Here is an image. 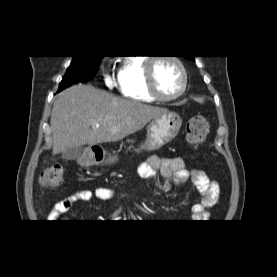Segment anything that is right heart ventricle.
I'll return each mask as SVG.
<instances>
[{
    "label": "right heart ventricle",
    "instance_id": "1",
    "mask_svg": "<svg viewBox=\"0 0 277 277\" xmlns=\"http://www.w3.org/2000/svg\"><path fill=\"white\" fill-rule=\"evenodd\" d=\"M145 56H131L123 60L118 71V85L122 96L140 102H154L145 80Z\"/></svg>",
    "mask_w": 277,
    "mask_h": 277
}]
</instances>
